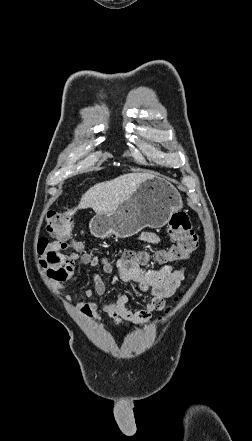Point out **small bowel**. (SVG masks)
I'll use <instances>...</instances> for the list:
<instances>
[{
	"mask_svg": "<svg viewBox=\"0 0 252 441\" xmlns=\"http://www.w3.org/2000/svg\"><path fill=\"white\" fill-rule=\"evenodd\" d=\"M140 240L150 244L160 243L158 235L152 232H142ZM68 245L64 243V248ZM80 262L83 265L97 266L99 258L89 253H74L66 258L67 276L64 280L58 282V287H64L71 279L74 271V263ZM103 272L111 274L114 271V265L110 260H106L102 264ZM116 274L112 279V284H116L119 280L136 284L139 289L147 294L143 299L145 308L142 310L132 311L128 309V296L123 292H116L113 297L102 306V309L113 320L115 325H120L123 321H130L136 325H143L150 321L153 312L161 311L165 306V300L171 297L179 287L184 278L185 269H175L171 265H164L159 269L143 270L137 262H127L119 259L116 264ZM94 289H86L82 293L81 302L79 303L80 313L85 317H93L96 315L98 305L94 302L87 301L94 294L103 296L106 291L104 281L99 275L93 277Z\"/></svg>",
	"mask_w": 252,
	"mask_h": 441,
	"instance_id": "1",
	"label": "small bowel"
}]
</instances>
